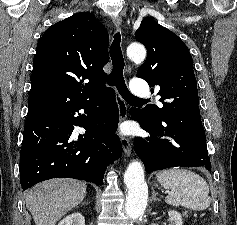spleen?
<instances>
[{
  "label": "spleen",
  "instance_id": "obj_1",
  "mask_svg": "<svg viewBox=\"0 0 237 225\" xmlns=\"http://www.w3.org/2000/svg\"><path fill=\"white\" fill-rule=\"evenodd\" d=\"M158 182L172 193L165 202L173 206H183L190 210L202 211L210 206L209 186L200 175L187 170L172 168L157 174Z\"/></svg>",
  "mask_w": 237,
  "mask_h": 225
}]
</instances>
